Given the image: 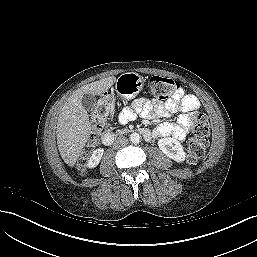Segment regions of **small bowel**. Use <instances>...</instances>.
Returning a JSON list of instances; mask_svg holds the SVG:
<instances>
[{
  "instance_id": "small-bowel-1",
  "label": "small bowel",
  "mask_w": 257,
  "mask_h": 257,
  "mask_svg": "<svg viewBox=\"0 0 257 257\" xmlns=\"http://www.w3.org/2000/svg\"><path fill=\"white\" fill-rule=\"evenodd\" d=\"M200 102L193 94H188L179 88L165 103H156L145 98L134 100L130 106L122 109L118 120L126 124L134 120L138 115L145 118L167 117L170 113L181 111L188 113L197 110ZM190 128L188 115H181L175 123H162L153 132L154 137L172 136L180 141L184 140Z\"/></svg>"
}]
</instances>
